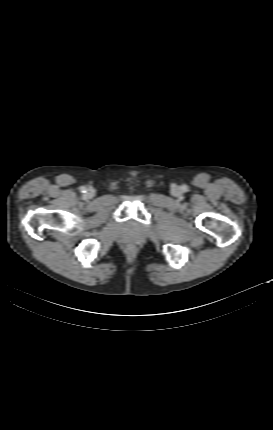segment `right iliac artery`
<instances>
[{"label":"right iliac artery","mask_w":273,"mask_h":430,"mask_svg":"<svg viewBox=\"0 0 273 430\" xmlns=\"http://www.w3.org/2000/svg\"><path fill=\"white\" fill-rule=\"evenodd\" d=\"M80 190H81L82 193L86 192V188L85 187H81Z\"/></svg>","instance_id":"right-iliac-artery-1"}]
</instances>
